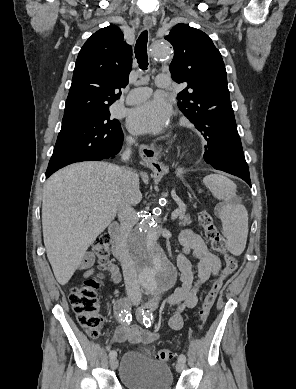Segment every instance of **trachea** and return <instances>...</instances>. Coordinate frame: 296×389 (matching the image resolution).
I'll list each match as a JSON object with an SVG mask.
<instances>
[{
	"mask_svg": "<svg viewBox=\"0 0 296 389\" xmlns=\"http://www.w3.org/2000/svg\"><path fill=\"white\" fill-rule=\"evenodd\" d=\"M147 42L148 32L145 30L141 33L135 45V56L137 62L139 67L144 71L147 70L148 67Z\"/></svg>",
	"mask_w": 296,
	"mask_h": 389,
	"instance_id": "3493384b",
	"label": "trachea"
}]
</instances>
